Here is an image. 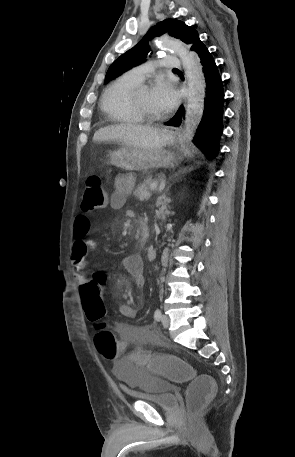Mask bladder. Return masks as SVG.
I'll return each mask as SVG.
<instances>
[{"label":"bladder","mask_w":295,"mask_h":457,"mask_svg":"<svg viewBox=\"0 0 295 457\" xmlns=\"http://www.w3.org/2000/svg\"><path fill=\"white\" fill-rule=\"evenodd\" d=\"M127 351L132 353L134 348L129 346ZM128 357L117 360L113 366V372L129 394L152 402L162 407L163 411H178V398L170 390V378H162L161 374H145L142 366L135 365L134 359H130V355Z\"/></svg>","instance_id":"obj_1"}]
</instances>
